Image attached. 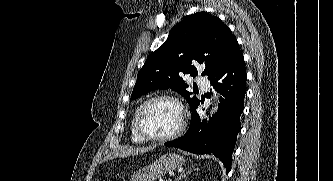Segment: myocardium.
I'll return each mask as SVG.
<instances>
[{"label": "myocardium", "instance_id": "myocardium-1", "mask_svg": "<svg viewBox=\"0 0 333 181\" xmlns=\"http://www.w3.org/2000/svg\"><path fill=\"white\" fill-rule=\"evenodd\" d=\"M159 100H168V101L175 103L180 109L181 118H180V124L176 130H174L173 132H171L167 135L154 136V135H151L148 132H146L145 129L143 128L142 116L150 104H152L155 101H159ZM185 125H186V110H185L183 103L180 101L179 98H177L173 95H169V94L155 95V96L147 99L145 102H143L140 105V107L138 108L136 117H135V129H136L137 133L143 139L148 140V141H154V142L169 141V140H172V139L178 137L184 131Z\"/></svg>", "mask_w": 333, "mask_h": 181}]
</instances>
